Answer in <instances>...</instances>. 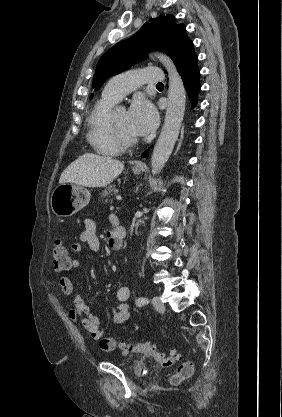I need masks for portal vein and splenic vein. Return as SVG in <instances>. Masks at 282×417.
<instances>
[{
    "label": "portal vein and splenic vein",
    "mask_w": 282,
    "mask_h": 417,
    "mask_svg": "<svg viewBox=\"0 0 282 417\" xmlns=\"http://www.w3.org/2000/svg\"><path fill=\"white\" fill-rule=\"evenodd\" d=\"M116 198H118V200H122L123 199V196L122 195H119V196H116Z\"/></svg>",
    "instance_id": "1"
}]
</instances>
